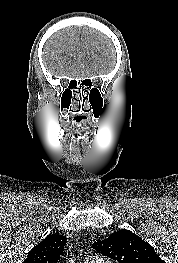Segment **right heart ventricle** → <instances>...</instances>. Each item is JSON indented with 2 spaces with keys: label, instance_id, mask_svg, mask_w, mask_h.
Returning a JSON list of instances; mask_svg holds the SVG:
<instances>
[{
  "label": "right heart ventricle",
  "instance_id": "1",
  "mask_svg": "<svg viewBox=\"0 0 178 263\" xmlns=\"http://www.w3.org/2000/svg\"><path fill=\"white\" fill-rule=\"evenodd\" d=\"M85 263H109L108 261L105 260H87Z\"/></svg>",
  "mask_w": 178,
  "mask_h": 263
}]
</instances>
